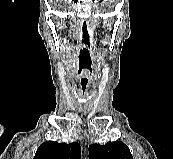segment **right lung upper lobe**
<instances>
[{
	"label": "right lung upper lobe",
	"instance_id": "right-lung-upper-lobe-1",
	"mask_svg": "<svg viewBox=\"0 0 173 159\" xmlns=\"http://www.w3.org/2000/svg\"><path fill=\"white\" fill-rule=\"evenodd\" d=\"M80 145L76 142L66 144L54 141L42 143L36 151L34 159H80Z\"/></svg>",
	"mask_w": 173,
	"mask_h": 159
}]
</instances>
